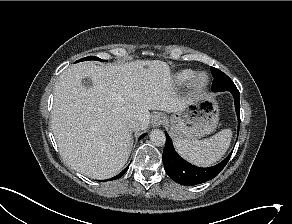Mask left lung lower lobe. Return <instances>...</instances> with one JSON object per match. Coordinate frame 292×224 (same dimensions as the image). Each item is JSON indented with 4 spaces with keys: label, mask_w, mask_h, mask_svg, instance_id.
I'll return each instance as SVG.
<instances>
[{
    "label": "left lung lower lobe",
    "mask_w": 292,
    "mask_h": 224,
    "mask_svg": "<svg viewBox=\"0 0 292 224\" xmlns=\"http://www.w3.org/2000/svg\"><path fill=\"white\" fill-rule=\"evenodd\" d=\"M222 91H229L233 95L237 117L240 120V93L237 87L232 84L229 87L224 88ZM230 156L231 154L216 166L199 168L186 162L177 154L173 148L171 138L166 133V145L163 151L162 160L165 171L170 178L181 185L193 186L216 177L225 167Z\"/></svg>",
    "instance_id": "left-lung-lower-lobe-1"
}]
</instances>
